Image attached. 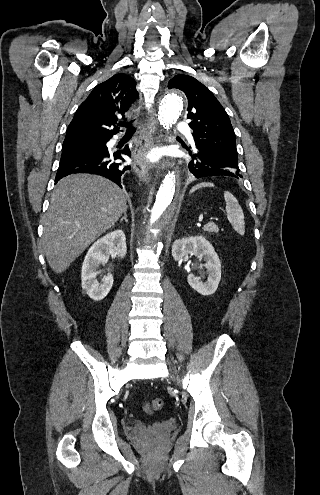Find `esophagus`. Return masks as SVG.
I'll return each mask as SVG.
<instances>
[{
  "label": "esophagus",
  "mask_w": 320,
  "mask_h": 495,
  "mask_svg": "<svg viewBox=\"0 0 320 495\" xmlns=\"http://www.w3.org/2000/svg\"><path fill=\"white\" fill-rule=\"evenodd\" d=\"M157 119L155 115H151L145 122L146 132L142 135L141 143L133 151V170L143 182L150 180L149 166L143 158L146 150L159 143L156 137Z\"/></svg>",
  "instance_id": "esophagus-1"
}]
</instances>
